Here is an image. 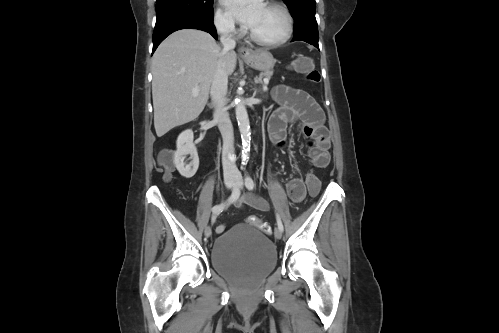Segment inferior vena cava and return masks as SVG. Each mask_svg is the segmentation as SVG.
Masks as SVG:
<instances>
[{
	"label": "inferior vena cava",
	"instance_id": "602c4592",
	"mask_svg": "<svg viewBox=\"0 0 499 333\" xmlns=\"http://www.w3.org/2000/svg\"><path fill=\"white\" fill-rule=\"evenodd\" d=\"M221 30L223 35L220 41L223 45V51L227 52L235 48V40L228 35L230 31L234 28L232 23L221 24ZM227 84L228 75L224 68V61L220 59L218 61L216 71L213 77L210 95L215 107L214 120L218 124V128L223 138V149H222V165L224 174H236L238 169L235 162L229 158V155L234 152V134L231 120L227 112L226 99L227 94Z\"/></svg>",
	"mask_w": 499,
	"mask_h": 333
}]
</instances>
